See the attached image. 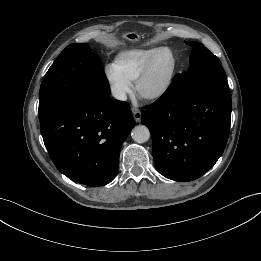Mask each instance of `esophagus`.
<instances>
[{
	"label": "esophagus",
	"instance_id": "obj_1",
	"mask_svg": "<svg viewBox=\"0 0 261 261\" xmlns=\"http://www.w3.org/2000/svg\"><path fill=\"white\" fill-rule=\"evenodd\" d=\"M131 111L133 113L134 120L136 122H140L141 121V117H142L141 111L139 109H137L136 107H132Z\"/></svg>",
	"mask_w": 261,
	"mask_h": 261
}]
</instances>
